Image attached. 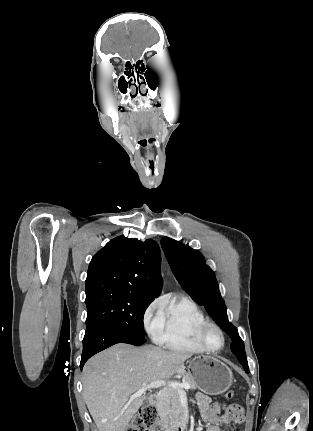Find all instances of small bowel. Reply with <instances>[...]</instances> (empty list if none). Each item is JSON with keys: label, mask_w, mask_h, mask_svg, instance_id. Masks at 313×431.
<instances>
[{"label": "small bowel", "mask_w": 313, "mask_h": 431, "mask_svg": "<svg viewBox=\"0 0 313 431\" xmlns=\"http://www.w3.org/2000/svg\"><path fill=\"white\" fill-rule=\"evenodd\" d=\"M196 401L205 423V431H224L223 424L242 423L244 420L243 410L238 405L223 402L211 403L210 398L204 393H198Z\"/></svg>", "instance_id": "obj_1"}]
</instances>
